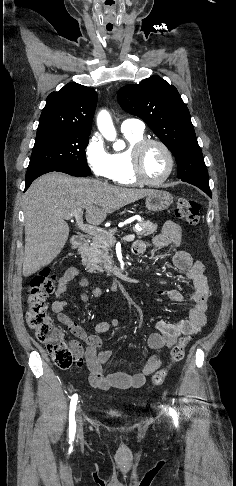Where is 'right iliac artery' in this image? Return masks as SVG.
Instances as JSON below:
<instances>
[{"instance_id": "right-iliac-artery-1", "label": "right iliac artery", "mask_w": 236, "mask_h": 486, "mask_svg": "<svg viewBox=\"0 0 236 486\" xmlns=\"http://www.w3.org/2000/svg\"><path fill=\"white\" fill-rule=\"evenodd\" d=\"M78 396L74 394L71 398L70 402V410H69V438L70 441H73L75 432H76V422H75V411L77 405Z\"/></svg>"}]
</instances>
